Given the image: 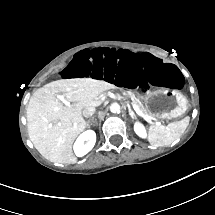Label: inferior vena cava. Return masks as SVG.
Returning <instances> with one entry per match:
<instances>
[{
	"instance_id": "602c4592",
	"label": "inferior vena cava",
	"mask_w": 215,
	"mask_h": 215,
	"mask_svg": "<svg viewBox=\"0 0 215 215\" xmlns=\"http://www.w3.org/2000/svg\"><path fill=\"white\" fill-rule=\"evenodd\" d=\"M96 109L94 106H86L83 108L82 110V115L85 118H90L93 116V114L95 113Z\"/></svg>"
}]
</instances>
